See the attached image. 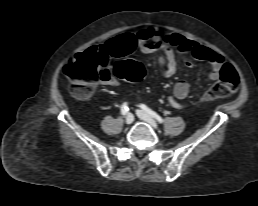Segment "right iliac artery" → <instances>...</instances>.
Here are the masks:
<instances>
[{
  "mask_svg": "<svg viewBox=\"0 0 258 206\" xmlns=\"http://www.w3.org/2000/svg\"><path fill=\"white\" fill-rule=\"evenodd\" d=\"M128 105H127V103L125 102V103H123L122 104V106H121V113H122V115H127V113H128Z\"/></svg>",
  "mask_w": 258,
  "mask_h": 206,
  "instance_id": "82829eb1",
  "label": "right iliac artery"
}]
</instances>
